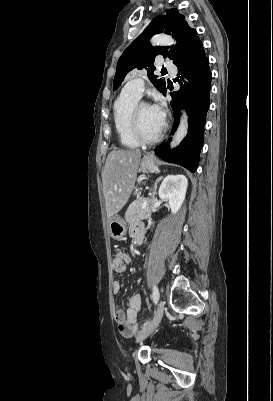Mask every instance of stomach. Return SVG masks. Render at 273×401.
Returning <instances> with one entry per match:
<instances>
[{"label":"stomach","instance_id":"obj_1","mask_svg":"<svg viewBox=\"0 0 273 401\" xmlns=\"http://www.w3.org/2000/svg\"><path fill=\"white\" fill-rule=\"evenodd\" d=\"M140 170L142 172H158V160H155L153 154L147 152L141 158ZM109 233L112 239H123L127 233V225L121 217L114 215V217H109L108 219Z\"/></svg>","mask_w":273,"mask_h":401}]
</instances>
